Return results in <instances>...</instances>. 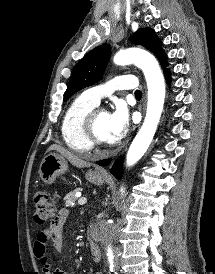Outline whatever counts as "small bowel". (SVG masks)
<instances>
[{
	"label": "small bowel",
	"instance_id": "small-bowel-1",
	"mask_svg": "<svg viewBox=\"0 0 215 274\" xmlns=\"http://www.w3.org/2000/svg\"><path fill=\"white\" fill-rule=\"evenodd\" d=\"M67 216V211H60L53 220V222L50 224V226L47 229L40 231L36 236L34 244V254L39 260L45 274H72L58 268H53L51 258L47 251L48 245L50 243L57 252H60L62 250V228L67 219Z\"/></svg>",
	"mask_w": 215,
	"mask_h": 274
}]
</instances>
